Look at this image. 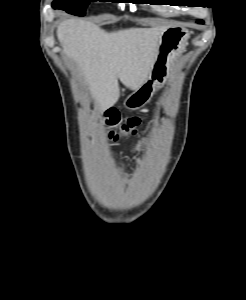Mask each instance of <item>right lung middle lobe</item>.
I'll return each instance as SVG.
<instances>
[{
    "label": "right lung middle lobe",
    "instance_id": "dd1d6c3e",
    "mask_svg": "<svg viewBox=\"0 0 246 300\" xmlns=\"http://www.w3.org/2000/svg\"><path fill=\"white\" fill-rule=\"evenodd\" d=\"M90 1L101 0H54L52 7L54 9L64 10L69 14L84 16L85 9Z\"/></svg>",
    "mask_w": 246,
    "mask_h": 300
}]
</instances>
